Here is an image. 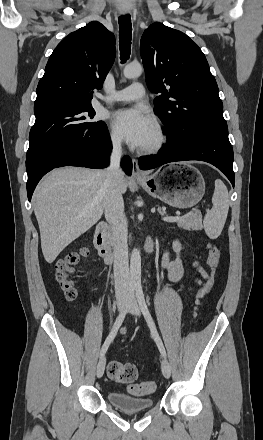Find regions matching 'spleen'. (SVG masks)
<instances>
[{
	"instance_id": "1",
	"label": "spleen",
	"mask_w": 263,
	"mask_h": 440,
	"mask_svg": "<svg viewBox=\"0 0 263 440\" xmlns=\"http://www.w3.org/2000/svg\"><path fill=\"white\" fill-rule=\"evenodd\" d=\"M229 194L227 187L220 179L215 181V190L212 197L213 207L204 217V229L210 239H216L221 234L229 210Z\"/></svg>"
}]
</instances>
